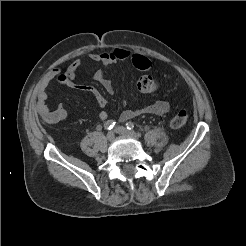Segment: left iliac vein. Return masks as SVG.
Returning <instances> with one entry per match:
<instances>
[{"instance_id":"4c4485c4","label":"left iliac vein","mask_w":246,"mask_h":246,"mask_svg":"<svg viewBox=\"0 0 246 246\" xmlns=\"http://www.w3.org/2000/svg\"><path fill=\"white\" fill-rule=\"evenodd\" d=\"M115 132L123 135V136H129V137H133V138H137V135L134 131H129L128 129H126L123 126H119L115 129Z\"/></svg>"}]
</instances>
